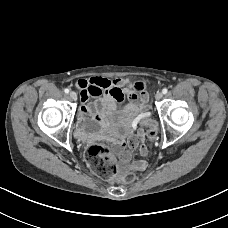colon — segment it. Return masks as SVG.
<instances>
[{
  "mask_svg": "<svg viewBox=\"0 0 228 228\" xmlns=\"http://www.w3.org/2000/svg\"><path fill=\"white\" fill-rule=\"evenodd\" d=\"M136 89L143 92L145 86L142 82L136 83ZM144 125L148 128V137L154 139L157 134V126L151 119H146ZM86 162L91 171L97 176L108 181L132 183L136 179L134 172L118 174L115 152L108 146L93 144L86 151Z\"/></svg>",
  "mask_w": 228,
  "mask_h": 228,
  "instance_id": "1",
  "label": "colon"
}]
</instances>
